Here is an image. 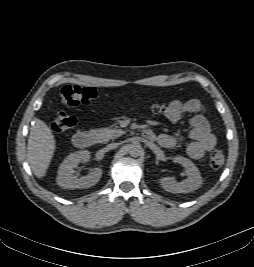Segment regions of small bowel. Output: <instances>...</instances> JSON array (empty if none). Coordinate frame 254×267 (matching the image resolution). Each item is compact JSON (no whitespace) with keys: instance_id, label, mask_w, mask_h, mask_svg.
Wrapping results in <instances>:
<instances>
[{"instance_id":"obj_1","label":"small bowel","mask_w":254,"mask_h":267,"mask_svg":"<svg viewBox=\"0 0 254 267\" xmlns=\"http://www.w3.org/2000/svg\"><path fill=\"white\" fill-rule=\"evenodd\" d=\"M203 112L204 106L197 99H190L185 102L172 101L165 111L167 119L171 122H179L185 115L190 114L191 129L186 137L166 133L158 136L154 135L158 143L162 147L173 148L187 138L190 140L187 146V154L193 159L202 158L206 152L211 151L216 145V136L212 133L210 124Z\"/></svg>"}]
</instances>
